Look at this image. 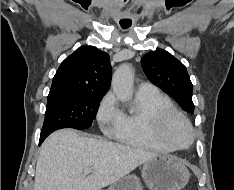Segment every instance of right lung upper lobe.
Here are the masks:
<instances>
[{
  "label": "right lung upper lobe",
  "mask_w": 234,
  "mask_h": 190,
  "mask_svg": "<svg viewBox=\"0 0 234 190\" xmlns=\"http://www.w3.org/2000/svg\"><path fill=\"white\" fill-rule=\"evenodd\" d=\"M108 54L92 46H82L58 68L50 90L103 96L110 87Z\"/></svg>",
  "instance_id": "cb5924a9"
}]
</instances>
